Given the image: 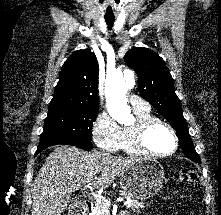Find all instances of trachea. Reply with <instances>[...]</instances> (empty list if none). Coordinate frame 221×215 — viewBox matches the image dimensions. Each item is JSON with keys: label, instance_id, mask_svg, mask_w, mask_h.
Wrapping results in <instances>:
<instances>
[{"label": "trachea", "instance_id": "1", "mask_svg": "<svg viewBox=\"0 0 221 215\" xmlns=\"http://www.w3.org/2000/svg\"><path fill=\"white\" fill-rule=\"evenodd\" d=\"M105 21H106V23H107L108 29L111 30V28H112L113 25H114L115 19H105Z\"/></svg>", "mask_w": 221, "mask_h": 215}]
</instances>
